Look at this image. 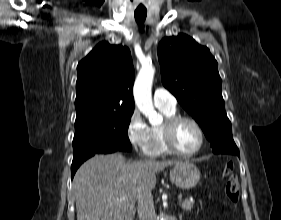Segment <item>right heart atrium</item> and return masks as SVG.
I'll list each match as a JSON object with an SVG mask.
<instances>
[{"instance_id": "1", "label": "right heart atrium", "mask_w": 281, "mask_h": 220, "mask_svg": "<svg viewBox=\"0 0 281 220\" xmlns=\"http://www.w3.org/2000/svg\"><path fill=\"white\" fill-rule=\"evenodd\" d=\"M126 135L135 150L146 153L150 140V128L137 110H134L128 119Z\"/></svg>"}]
</instances>
